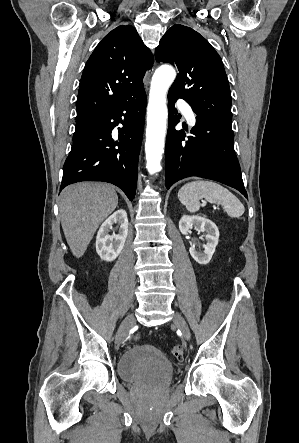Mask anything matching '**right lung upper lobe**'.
Instances as JSON below:
<instances>
[{
	"mask_svg": "<svg viewBox=\"0 0 299 443\" xmlns=\"http://www.w3.org/2000/svg\"><path fill=\"white\" fill-rule=\"evenodd\" d=\"M153 56L135 28L121 25L108 33L88 59L77 98V123L129 99L143 89Z\"/></svg>",
	"mask_w": 299,
	"mask_h": 443,
	"instance_id": "obj_1",
	"label": "right lung upper lobe"
}]
</instances>
